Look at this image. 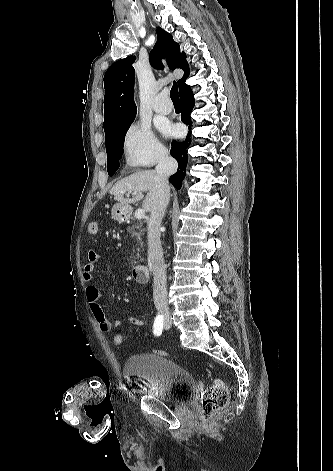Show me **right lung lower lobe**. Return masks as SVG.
Instances as JSON below:
<instances>
[{
	"instance_id": "98d812e1",
	"label": "right lung lower lobe",
	"mask_w": 333,
	"mask_h": 471,
	"mask_svg": "<svg viewBox=\"0 0 333 471\" xmlns=\"http://www.w3.org/2000/svg\"><path fill=\"white\" fill-rule=\"evenodd\" d=\"M180 101L182 106V117L181 121L188 125L189 132L185 141L183 142H172V148L170 150V154L177 160L178 162V169L175 174H173L169 181L173 184V186L177 189H180L182 184L181 182L185 178L186 175V164H187V147L191 142V118L190 113L194 107V95L189 86H185L183 90L180 92Z\"/></svg>"
}]
</instances>
